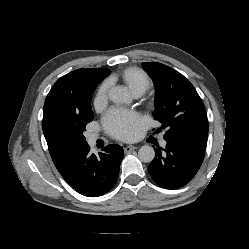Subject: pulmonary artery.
Here are the masks:
<instances>
[{
	"label": "pulmonary artery",
	"mask_w": 249,
	"mask_h": 249,
	"mask_svg": "<svg viewBox=\"0 0 249 249\" xmlns=\"http://www.w3.org/2000/svg\"><path fill=\"white\" fill-rule=\"evenodd\" d=\"M97 138H98V136L95 135V134L89 135L88 136V143L90 145H93L96 142ZM160 144H161L162 147H165L167 145V141L166 140H161Z\"/></svg>",
	"instance_id": "pulmonary-artery-1"
}]
</instances>
